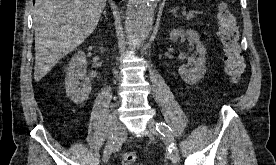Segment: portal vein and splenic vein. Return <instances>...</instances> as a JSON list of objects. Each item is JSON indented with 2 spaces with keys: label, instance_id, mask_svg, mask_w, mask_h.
Wrapping results in <instances>:
<instances>
[{
  "label": "portal vein and splenic vein",
  "instance_id": "18ae733b",
  "mask_svg": "<svg viewBox=\"0 0 276 165\" xmlns=\"http://www.w3.org/2000/svg\"><path fill=\"white\" fill-rule=\"evenodd\" d=\"M192 17H193V14H192V13L186 14V18H187V19H191Z\"/></svg>",
  "mask_w": 276,
  "mask_h": 165
}]
</instances>
